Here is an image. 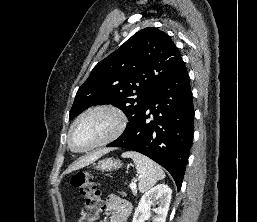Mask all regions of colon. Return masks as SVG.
<instances>
[{"mask_svg":"<svg viewBox=\"0 0 257 222\" xmlns=\"http://www.w3.org/2000/svg\"><path fill=\"white\" fill-rule=\"evenodd\" d=\"M70 183L79 189L85 198V206L82 209L77 222H96L103 207L100 191L91 175L86 171H78L71 177Z\"/></svg>","mask_w":257,"mask_h":222,"instance_id":"1","label":"colon"}]
</instances>
